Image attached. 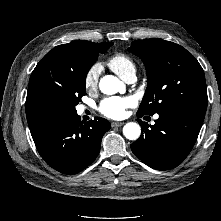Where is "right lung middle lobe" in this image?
<instances>
[{"instance_id": "dd1d6c3e", "label": "right lung middle lobe", "mask_w": 221, "mask_h": 221, "mask_svg": "<svg viewBox=\"0 0 221 221\" xmlns=\"http://www.w3.org/2000/svg\"><path fill=\"white\" fill-rule=\"evenodd\" d=\"M112 42L92 43L74 51L54 68L53 80L48 87L44 103L47 108L76 112L75 106L86 95L85 80L91 66L112 46Z\"/></svg>"}]
</instances>
